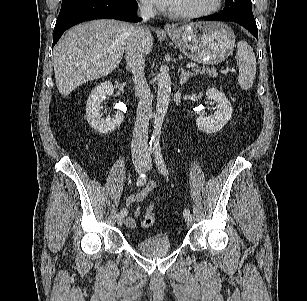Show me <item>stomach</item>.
<instances>
[{
    "mask_svg": "<svg viewBox=\"0 0 307 301\" xmlns=\"http://www.w3.org/2000/svg\"><path fill=\"white\" fill-rule=\"evenodd\" d=\"M168 35L189 59L205 64L224 61L235 46L234 32L221 22L191 23L169 31Z\"/></svg>",
    "mask_w": 307,
    "mask_h": 301,
    "instance_id": "0dacf381",
    "label": "stomach"
}]
</instances>
